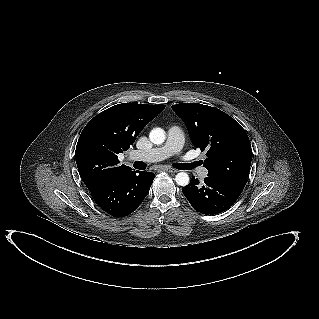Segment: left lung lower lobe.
<instances>
[{
  "instance_id": "1",
  "label": "left lung lower lobe",
  "mask_w": 319,
  "mask_h": 319,
  "mask_svg": "<svg viewBox=\"0 0 319 319\" xmlns=\"http://www.w3.org/2000/svg\"><path fill=\"white\" fill-rule=\"evenodd\" d=\"M182 192L196 211L207 215L227 210L242 193L226 182L209 176L204 179L203 185L193 177L190 183L182 188Z\"/></svg>"
}]
</instances>
